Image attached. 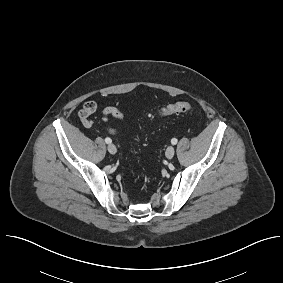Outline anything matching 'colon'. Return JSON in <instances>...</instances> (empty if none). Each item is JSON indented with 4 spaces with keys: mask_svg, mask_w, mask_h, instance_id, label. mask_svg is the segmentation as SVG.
<instances>
[{
    "mask_svg": "<svg viewBox=\"0 0 283 283\" xmlns=\"http://www.w3.org/2000/svg\"><path fill=\"white\" fill-rule=\"evenodd\" d=\"M193 109L192 105L188 102H176L161 108L158 115L161 117H168L176 114L188 113Z\"/></svg>",
    "mask_w": 283,
    "mask_h": 283,
    "instance_id": "1",
    "label": "colon"
}]
</instances>
